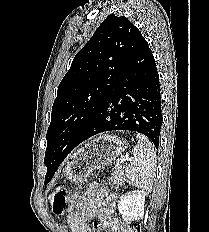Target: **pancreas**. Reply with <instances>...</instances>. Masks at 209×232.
<instances>
[{
  "label": "pancreas",
  "mask_w": 209,
  "mask_h": 232,
  "mask_svg": "<svg viewBox=\"0 0 209 232\" xmlns=\"http://www.w3.org/2000/svg\"><path fill=\"white\" fill-rule=\"evenodd\" d=\"M110 180L112 181L113 185L119 187L122 182L125 180V176L123 173V168L121 166L115 167L113 170V173L110 177Z\"/></svg>",
  "instance_id": "pancreas-1"
}]
</instances>
